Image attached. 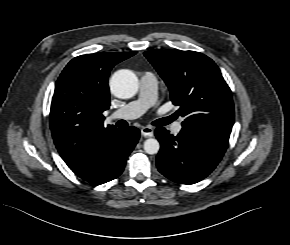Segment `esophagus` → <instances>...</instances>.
<instances>
[{
    "label": "esophagus",
    "mask_w": 290,
    "mask_h": 245,
    "mask_svg": "<svg viewBox=\"0 0 290 245\" xmlns=\"http://www.w3.org/2000/svg\"><path fill=\"white\" fill-rule=\"evenodd\" d=\"M141 135L144 137H152L154 135L153 128L149 126L142 127Z\"/></svg>",
    "instance_id": "esophagus-1"
}]
</instances>
